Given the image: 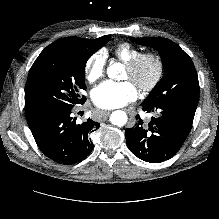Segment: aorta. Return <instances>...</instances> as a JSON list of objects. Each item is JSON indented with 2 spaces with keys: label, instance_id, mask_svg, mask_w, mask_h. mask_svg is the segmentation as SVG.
<instances>
[{
  "label": "aorta",
  "instance_id": "aorta-1",
  "mask_svg": "<svg viewBox=\"0 0 219 219\" xmlns=\"http://www.w3.org/2000/svg\"><path fill=\"white\" fill-rule=\"evenodd\" d=\"M120 64L114 63L107 68V75L111 79H115L118 74ZM110 122L113 125L122 127L127 123V114L122 110L114 111L110 116Z\"/></svg>",
  "mask_w": 219,
  "mask_h": 219
}]
</instances>
